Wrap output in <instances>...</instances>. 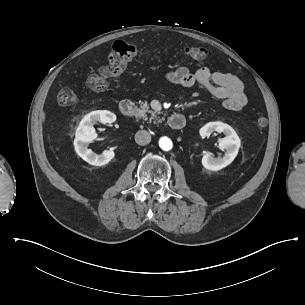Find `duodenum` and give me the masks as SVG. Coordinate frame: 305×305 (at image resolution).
Segmentation results:
<instances>
[{"label":"duodenum","instance_id":"1","mask_svg":"<svg viewBox=\"0 0 305 305\" xmlns=\"http://www.w3.org/2000/svg\"><path fill=\"white\" fill-rule=\"evenodd\" d=\"M120 111L122 115L131 117L137 113V106L130 100H123L120 103ZM168 124L173 130H180L185 125V118L179 113L172 114L168 119Z\"/></svg>","mask_w":305,"mask_h":305}]
</instances>
